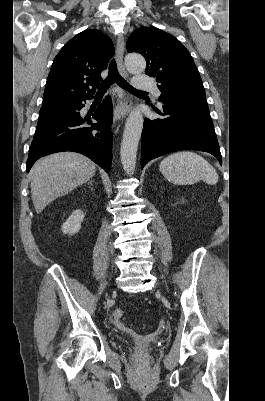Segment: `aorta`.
Segmentation results:
<instances>
[{
    "instance_id": "aorta-1",
    "label": "aorta",
    "mask_w": 265,
    "mask_h": 401,
    "mask_svg": "<svg viewBox=\"0 0 265 401\" xmlns=\"http://www.w3.org/2000/svg\"><path fill=\"white\" fill-rule=\"evenodd\" d=\"M125 66L129 72H143L146 68V60L141 54H127ZM143 114L138 108L131 110L125 124L121 142V162L127 174H133L136 164L138 142L143 128Z\"/></svg>"
}]
</instances>
